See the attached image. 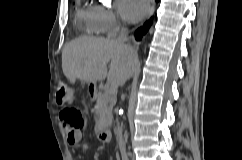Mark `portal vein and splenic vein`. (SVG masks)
Wrapping results in <instances>:
<instances>
[{"mask_svg": "<svg viewBox=\"0 0 242 160\" xmlns=\"http://www.w3.org/2000/svg\"><path fill=\"white\" fill-rule=\"evenodd\" d=\"M110 94H111V91H110V90H107L106 92H104L103 97H104L105 99H108L109 96H110Z\"/></svg>", "mask_w": 242, "mask_h": 160, "instance_id": "18ae733b", "label": "portal vein and splenic vein"}]
</instances>
